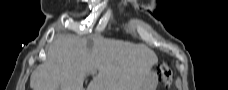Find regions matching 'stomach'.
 Segmentation results:
<instances>
[{"label":"stomach","instance_id":"0dacf381","mask_svg":"<svg viewBox=\"0 0 228 90\" xmlns=\"http://www.w3.org/2000/svg\"><path fill=\"white\" fill-rule=\"evenodd\" d=\"M156 83L157 75L155 72H151L148 78V82L145 84L142 90H153Z\"/></svg>","mask_w":228,"mask_h":90}]
</instances>
